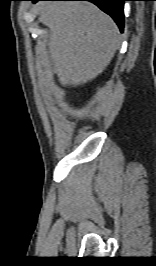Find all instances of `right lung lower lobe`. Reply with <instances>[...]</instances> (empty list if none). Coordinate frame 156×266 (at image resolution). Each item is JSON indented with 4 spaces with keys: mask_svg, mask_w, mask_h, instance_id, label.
Listing matches in <instances>:
<instances>
[{
    "mask_svg": "<svg viewBox=\"0 0 156 266\" xmlns=\"http://www.w3.org/2000/svg\"><path fill=\"white\" fill-rule=\"evenodd\" d=\"M34 3L37 1H90L97 5L102 11L110 15L120 30L123 31L124 27V12L123 6L125 0H32Z\"/></svg>",
    "mask_w": 156,
    "mask_h": 266,
    "instance_id": "right-lung-lower-lobe-1",
    "label": "right lung lower lobe"
}]
</instances>
